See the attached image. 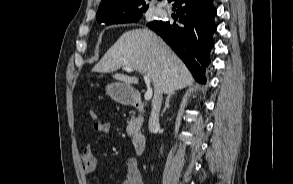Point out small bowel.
Segmentation results:
<instances>
[{"mask_svg": "<svg viewBox=\"0 0 293 184\" xmlns=\"http://www.w3.org/2000/svg\"><path fill=\"white\" fill-rule=\"evenodd\" d=\"M96 132L109 134L111 131V124L108 122H96L93 126ZM81 167L84 174H90L94 171L96 166V158L90 144L85 145L81 152ZM126 178L122 184H143L142 174L135 158H128L125 163Z\"/></svg>", "mask_w": 293, "mask_h": 184, "instance_id": "obj_1", "label": "small bowel"}]
</instances>
